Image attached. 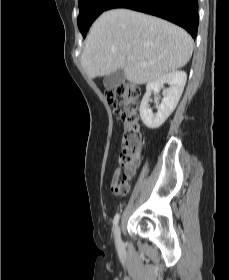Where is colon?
I'll return each instance as SVG.
<instances>
[{"mask_svg":"<svg viewBox=\"0 0 229 280\" xmlns=\"http://www.w3.org/2000/svg\"><path fill=\"white\" fill-rule=\"evenodd\" d=\"M142 91L131 83H123L113 90H107L108 103L115 108L119 119L123 122V130L120 137L121 152L120 162L128 169L134 163L137 153L141 147L139 106ZM117 97L121 98V110H117ZM130 188L129 174H124L120 182L112 184V190L116 192H127Z\"/></svg>","mask_w":229,"mask_h":280,"instance_id":"obj_1","label":"colon"}]
</instances>
